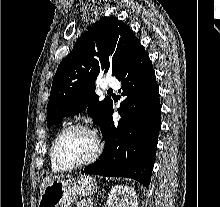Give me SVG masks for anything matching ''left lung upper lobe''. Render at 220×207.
Returning <instances> with one entry per match:
<instances>
[{"label": "left lung upper lobe", "instance_id": "left-lung-upper-lobe-1", "mask_svg": "<svg viewBox=\"0 0 220 207\" xmlns=\"http://www.w3.org/2000/svg\"><path fill=\"white\" fill-rule=\"evenodd\" d=\"M140 42L130 27L115 17H102L77 40L59 64L47 105V126L87 109L100 128L112 101L98 100L95 80L101 73L121 72Z\"/></svg>", "mask_w": 220, "mask_h": 207}]
</instances>
